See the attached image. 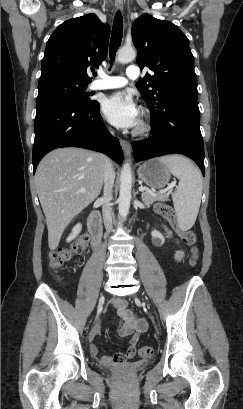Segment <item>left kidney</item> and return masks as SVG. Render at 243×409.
<instances>
[{"mask_svg":"<svg viewBox=\"0 0 243 409\" xmlns=\"http://www.w3.org/2000/svg\"><path fill=\"white\" fill-rule=\"evenodd\" d=\"M151 235H152V243H153L154 245H156V246H161V245L164 244L165 239H164L163 235H162L159 231H157L156 229H154V230L151 232Z\"/></svg>","mask_w":243,"mask_h":409,"instance_id":"1","label":"left kidney"}]
</instances>
